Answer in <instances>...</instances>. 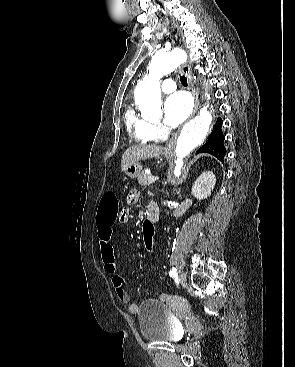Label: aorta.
Masks as SVG:
<instances>
[{
    "mask_svg": "<svg viewBox=\"0 0 295 367\" xmlns=\"http://www.w3.org/2000/svg\"><path fill=\"white\" fill-rule=\"evenodd\" d=\"M186 59L185 52L174 49L169 52H157L149 66V76L135 89V103L144 118H159L162 115V101L159 80L174 71ZM212 114L203 107L198 116L189 121L181 130L176 141L173 180L181 178L183 158L200 145L210 129Z\"/></svg>",
    "mask_w": 295,
    "mask_h": 367,
    "instance_id": "aorta-1",
    "label": "aorta"
}]
</instances>
